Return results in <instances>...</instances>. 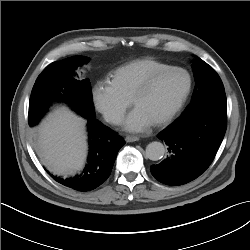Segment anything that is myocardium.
I'll return each mask as SVG.
<instances>
[{
    "instance_id": "myocardium-1",
    "label": "myocardium",
    "mask_w": 250,
    "mask_h": 250,
    "mask_svg": "<svg viewBox=\"0 0 250 250\" xmlns=\"http://www.w3.org/2000/svg\"><path fill=\"white\" fill-rule=\"evenodd\" d=\"M172 71L183 72L187 77V86H186V89H185L183 95L181 96L180 100L173 107V109L168 114H166L163 118H161L160 120L153 123L157 127H162V126H165L168 123H170L176 117V115L182 110L184 105L186 104V102L190 96L191 90H192V76H191L190 72L187 69L180 67V66H168V67L159 69V70L153 72L152 74H150L143 81V83L137 88V90L135 91V93L131 99L132 104L135 105V102L137 101V99L140 98L141 96H143L144 94H146L152 88V86L154 85V83L156 82V80L158 78H160L162 75H164L168 72H172Z\"/></svg>"
}]
</instances>
